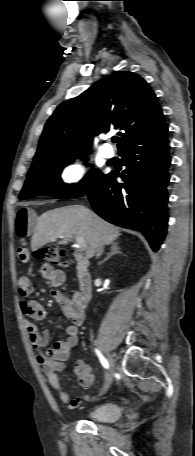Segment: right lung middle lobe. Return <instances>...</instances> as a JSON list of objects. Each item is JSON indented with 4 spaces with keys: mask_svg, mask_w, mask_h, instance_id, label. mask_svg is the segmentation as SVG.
<instances>
[{
    "mask_svg": "<svg viewBox=\"0 0 195 456\" xmlns=\"http://www.w3.org/2000/svg\"><path fill=\"white\" fill-rule=\"evenodd\" d=\"M73 159L74 157H66L31 166L19 198L26 199L34 196L76 198L88 193L104 175L99 170L93 169L77 184L62 183L60 173L66 165L72 163Z\"/></svg>",
    "mask_w": 195,
    "mask_h": 456,
    "instance_id": "dd1d6c3e",
    "label": "right lung middle lobe"
}]
</instances>
